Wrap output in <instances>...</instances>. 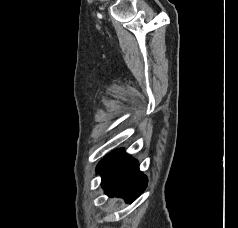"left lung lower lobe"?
<instances>
[{
	"label": "left lung lower lobe",
	"mask_w": 238,
	"mask_h": 228,
	"mask_svg": "<svg viewBox=\"0 0 238 228\" xmlns=\"http://www.w3.org/2000/svg\"><path fill=\"white\" fill-rule=\"evenodd\" d=\"M97 171L102 175V186L111 197H122L131 203L145 190L147 177L138 162L121 149L108 154L100 162Z\"/></svg>",
	"instance_id": "0a47b994"
}]
</instances>
